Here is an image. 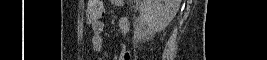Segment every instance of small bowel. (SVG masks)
Masks as SVG:
<instances>
[{
  "label": "small bowel",
  "instance_id": "obj_1",
  "mask_svg": "<svg viewBox=\"0 0 267 60\" xmlns=\"http://www.w3.org/2000/svg\"><path fill=\"white\" fill-rule=\"evenodd\" d=\"M113 4L115 5H121L123 4V0H113ZM104 15V14H103ZM102 15V17H103ZM102 17L100 21L96 24H90V29L92 33V38H91V46L92 50L95 53H100L103 49V31H104V23L102 20ZM118 28L119 32L122 36H125L129 29H130V22L126 17H122L119 19L118 22ZM130 59V53L126 49L123 43H121L120 49L116 52L114 56V60H129Z\"/></svg>",
  "mask_w": 267,
  "mask_h": 60
}]
</instances>
